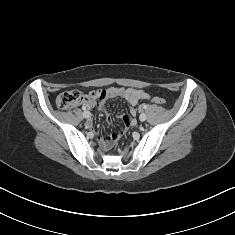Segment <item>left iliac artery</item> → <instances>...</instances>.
<instances>
[{
  "label": "left iliac artery",
  "mask_w": 235,
  "mask_h": 235,
  "mask_svg": "<svg viewBox=\"0 0 235 235\" xmlns=\"http://www.w3.org/2000/svg\"><path fill=\"white\" fill-rule=\"evenodd\" d=\"M143 108L146 109V108H147V105H144Z\"/></svg>",
  "instance_id": "1"
}]
</instances>
